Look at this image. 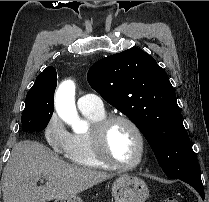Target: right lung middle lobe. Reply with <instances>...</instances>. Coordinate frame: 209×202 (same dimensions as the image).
<instances>
[{"label": "right lung middle lobe", "instance_id": "right-lung-middle-lobe-1", "mask_svg": "<svg viewBox=\"0 0 209 202\" xmlns=\"http://www.w3.org/2000/svg\"><path fill=\"white\" fill-rule=\"evenodd\" d=\"M56 83L50 80L35 82L26 95L22 113L23 132H39L48 125L54 111Z\"/></svg>", "mask_w": 209, "mask_h": 202}]
</instances>
